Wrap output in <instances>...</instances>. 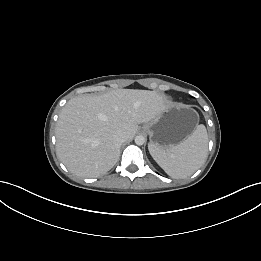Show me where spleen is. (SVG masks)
Listing matches in <instances>:
<instances>
[{
    "mask_svg": "<svg viewBox=\"0 0 261 261\" xmlns=\"http://www.w3.org/2000/svg\"><path fill=\"white\" fill-rule=\"evenodd\" d=\"M149 152L158 165L173 178L192 175L205 161L208 152V135L204 125H198L184 141L170 149L152 144Z\"/></svg>",
    "mask_w": 261,
    "mask_h": 261,
    "instance_id": "3e777b00",
    "label": "spleen"
}]
</instances>
